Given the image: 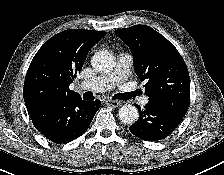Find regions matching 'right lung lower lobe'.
<instances>
[{"instance_id": "obj_1", "label": "right lung lower lobe", "mask_w": 224, "mask_h": 175, "mask_svg": "<svg viewBox=\"0 0 224 175\" xmlns=\"http://www.w3.org/2000/svg\"><path fill=\"white\" fill-rule=\"evenodd\" d=\"M100 106V100L88 102L78 96L42 101L28 106L27 110L39 132L62 144L81 136Z\"/></svg>"}]
</instances>
